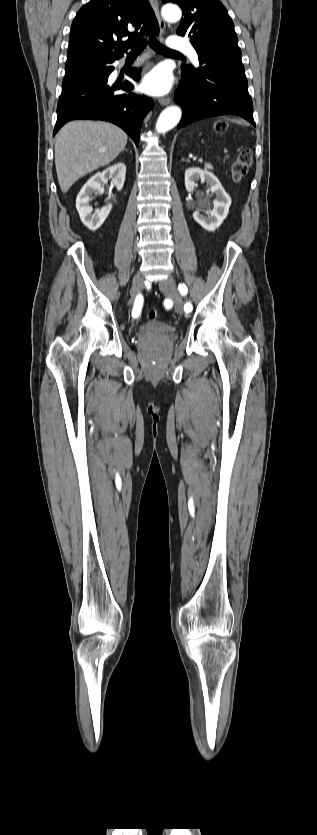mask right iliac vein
<instances>
[{"instance_id":"63e3f726","label":"right iliac vein","mask_w":317,"mask_h":835,"mask_svg":"<svg viewBox=\"0 0 317 835\" xmlns=\"http://www.w3.org/2000/svg\"><path fill=\"white\" fill-rule=\"evenodd\" d=\"M143 288V279L139 273H137L132 281V286L130 290L131 297L134 298Z\"/></svg>"}]
</instances>
